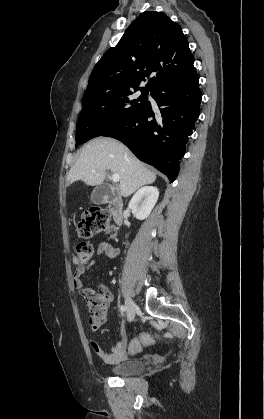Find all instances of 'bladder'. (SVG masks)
I'll return each mask as SVG.
<instances>
[{"mask_svg":"<svg viewBox=\"0 0 264 419\" xmlns=\"http://www.w3.org/2000/svg\"><path fill=\"white\" fill-rule=\"evenodd\" d=\"M145 370V363L131 359L124 361L111 369V373L117 377H128L142 373Z\"/></svg>","mask_w":264,"mask_h":419,"instance_id":"31cf9c89","label":"bladder"}]
</instances>
